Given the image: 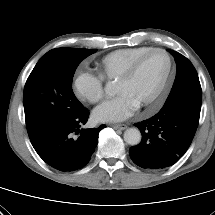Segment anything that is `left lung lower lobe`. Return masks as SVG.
Here are the masks:
<instances>
[{"label":"left lung lower lobe","mask_w":215,"mask_h":215,"mask_svg":"<svg viewBox=\"0 0 215 215\" xmlns=\"http://www.w3.org/2000/svg\"><path fill=\"white\" fill-rule=\"evenodd\" d=\"M199 117L200 113L185 105L172 104L136 123L142 140L129 149L132 161L145 169H163L175 164L189 148Z\"/></svg>","instance_id":"left-lung-lower-lobe-1"}]
</instances>
